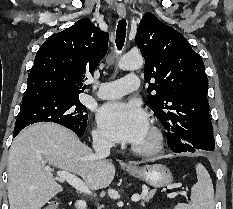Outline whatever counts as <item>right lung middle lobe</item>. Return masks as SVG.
<instances>
[{
  "mask_svg": "<svg viewBox=\"0 0 233 209\" xmlns=\"http://www.w3.org/2000/svg\"><path fill=\"white\" fill-rule=\"evenodd\" d=\"M87 109L79 98L43 99L22 103L15 128L24 127L37 122H54L71 130H85L87 125Z\"/></svg>",
  "mask_w": 233,
  "mask_h": 209,
  "instance_id": "right-lung-middle-lobe-1",
  "label": "right lung middle lobe"
}]
</instances>
